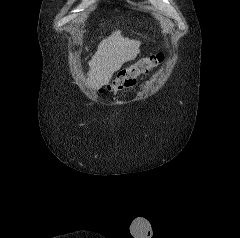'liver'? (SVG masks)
I'll return each instance as SVG.
<instances>
[{
  "instance_id": "obj_1",
  "label": "liver",
  "mask_w": 240,
  "mask_h": 238,
  "mask_svg": "<svg viewBox=\"0 0 240 238\" xmlns=\"http://www.w3.org/2000/svg\"><path fill=\"white\" fill-rule=\"evenodd\" d=\"M140 45V41L124 38L119 30L103 39L88 63L87 85L94 90L107 85L114 72L137 57Z\"/></svg>"
}]
</instances>
